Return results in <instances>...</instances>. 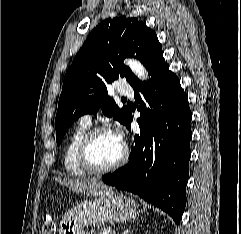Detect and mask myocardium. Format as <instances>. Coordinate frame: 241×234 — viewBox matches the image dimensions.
<instances>
[{
  "mask_svg": "<svg viewBox=\"0 0 241 234\" xmlns=\"http://www.w3.org/2000/svg\"><path fill=\"white\" fill-rule=\"evenodd\" d=\"M111 132L107 127L98 126L91 128L87 131V133L83 136L79 147H78V162L80 166L90 174H105L111 171H114L124 165L128 159L129 151L125 144H123V151L121 157L114 162L113 164L105 167H99L92 163L90 159V148L91 145L96 138V136L100 133Z\"/></svg>",
  "mask_w": 241,
  "mask_h": 234,
  "instance_id": "f54148a6",
  "label": "myocardium"
}]
</instances>
